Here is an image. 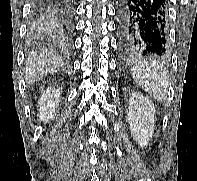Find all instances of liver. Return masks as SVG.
<instances>
[{"instance_id":"obj_1","label":"liver","mask_w":197,"mask_h":181,"mask_svg":"<svg viewBox=\"0 0 197 181\" xmlns=\"http://www.w3.org/2000/svg\"><path fill=\"white\" fill-rule=\"evenodd\" d=\"M63 68V62L53 51L34 52L26 62L25 80L29 84L34 83L45 75Z\"/></svg>"}]
</instances>
